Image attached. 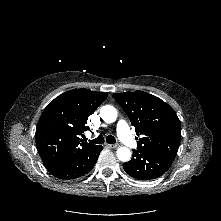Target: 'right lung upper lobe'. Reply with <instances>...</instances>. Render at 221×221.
<instances>
[{"mask_svg":"<svg viewBox=\"0 0 221 221\" xmlns=\"http://www.w3.org/2000/svg\"><path fill=\"white\" fill-rule=\"evenodd\" d=\"M106 93L85 88L69 90L51 101L36 128V145L43 164L51 167L73 153L94 146L79 136L89 129L88 116L107 98Z\"/></svg>","mask_w":221,"mask_h":221,"instance_id":"cb5924a9","label":"right lung upper lobe"}]
</instances>
